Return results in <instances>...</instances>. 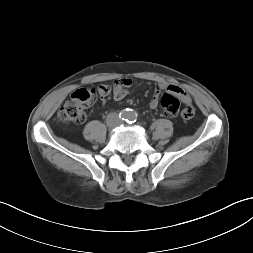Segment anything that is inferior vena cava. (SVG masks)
Segmentation results:
<instances>
[{
  "label": "inferior vena cava",
  "mask_w": 253,
  "mask_h": 253,
  "mask_svg": "<svg viewBox=\"0 0 253 253\" xmlns=\"http://www.w3.org/2000/svg\"><path fill=\"white\" fill-rule=\"evenodd\" d=\"M106 122L110 126H115L119 124L120 119L118 118V115L116 113H109L107 115Z\"/></svg>",
  "instance_id": "obj_1"
}]
</instances>
